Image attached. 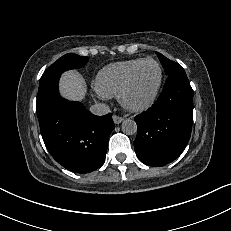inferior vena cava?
Segmentation results:
<instances>
[{
    "label": "inferior vena cava",
    "mask_w": 231,
    "mask_h": 231,
    "mask_svg": "<svg viewBox=\"0 0 231 231\" xmlns=\"http://www.w3.org/2000/svg\"><path fill=\"white\" fill-rule=\"evenodd\" d=\"M90 111L94 115L102 116L106 115L110 110L109 107L104 103H98L90 107Z\"/></svg>",
    "instance_id": "1"
}]
</instances>
